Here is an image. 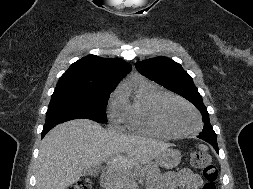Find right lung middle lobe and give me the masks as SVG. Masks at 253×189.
<instances>
[{
  "mask_svg": "<svg viewBox=\"0 0 253 189\" xmlns=\"http://www.w3.org/2000/svg\"><path fill=\"white\" fill-rule=\"evenodd\" d=\"M113 88H56L46 122L78 118L107 123L106 106Z\"/></svg>",
  "mask_w": 253,
  "mask_h": 189,
  "instance_id": "dd1d6c3e",
  "label": "right lung middle lobe"
}]
</instances>
